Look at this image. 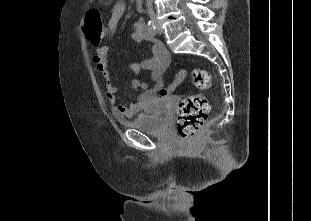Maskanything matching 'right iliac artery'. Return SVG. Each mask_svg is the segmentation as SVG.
Instances as JSON below:
<instances>
[{
    "mask_svg": "<svg viewBox=\"0 0 311 221\" xmlns=\"http://www.w3.org/2000/svg\"><path fill=\"white\" fill-rule=\"evenodd\" d=\"M147 30H148L150 35H152V36L156 35V26H155L154 22H152V21L148 22Z\"/></svg>",
    "mask_w": 311,
    "mask_h": 221,
    "instance_id": "right-iliac-artery-1",
    "label": "right iliac artery"
}]
</instances>
